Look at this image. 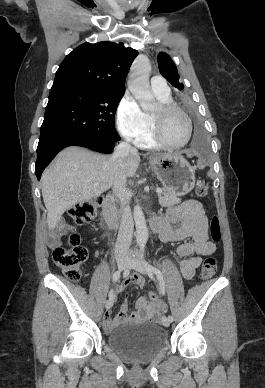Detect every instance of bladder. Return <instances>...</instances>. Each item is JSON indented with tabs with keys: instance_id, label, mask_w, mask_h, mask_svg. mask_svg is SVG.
<instances>
[{
	"instance_id": "bladder-1",
	"label": "bladder",
	"mask_w": 265,
	"mask_h": 388,
	"mask_svg": "<svg viewBox=\"0 0 265 388\" xmlns=\"http://www.w3.org/2000/svg\"><path fill=\"white\" fill-rule=\"evenodd\" d=\"M107 346L133 362L154 356L168 340L166 330L157 323H138L115 329L108 334Z\"/></svg>"
}]
</instances>
